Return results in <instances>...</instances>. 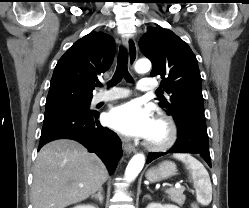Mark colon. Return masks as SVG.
<instances>
[{
  "label": "colon",
  "mask_w": 249,
  "mask_h": 208,
  "mask_svg": "<svg viewBox=\"0 0 249 208\" xmlns=\"http://www.w3.org/2000/svg\"><path fill=\"white\" fill-rule=\"evenodd\" d=\"M192 208H198L196 204H193L192 205Z\"/></svg>",
  "instance_id": "1"
}]
</instances>
